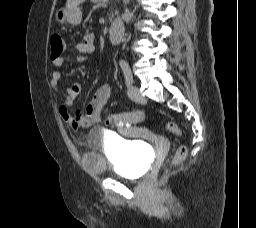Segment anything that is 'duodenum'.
<instances>
[{
  "mask_svg": "<svg viewBox=\"0 0 256 228\" xmlns=\"http://www.w3.org/2000/svg\"><path fill=\"white\" fill-rule=\"evenodd\" d=\"M124 35V26L121 22L115 21L110 27L109 30V41L112 44L119 43Z\"/></svg>",
  "mask_w": 256,
  "mask_h": 228,
  "instance_id": "1",
  "label": "duodenum"
}]
</instances>
